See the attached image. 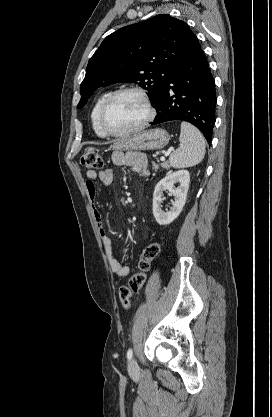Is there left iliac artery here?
<instances>
[{
	"label": "left iliac artery",
	"mask_w": 272,
	"mask_h": 417,
	"mask_svg": "<svg viewBox=\"0 0 272 417\" xmlns=\"http://www.w3.org/2000/svg\"><path fill=\"white\" fill-rule=\"evenodd\" d=\"M132 355H133V351H132L131 348H129L128 351H127V358H128V360H131Z\"/></svg>",
	"instance_id": "obj_1"
}]
</instances>
